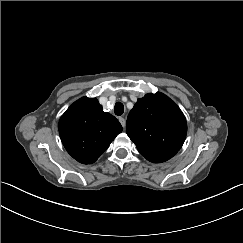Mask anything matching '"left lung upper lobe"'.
<instances>
[{"label":"left lung upper lobe","instance_id":"obj_1","mask_svg":"<svg viewBox=\"0 0 243 243\" xmlns=\"http://www.w3.org/2000/svg\"><path fill=\"white\" fill-rule=\"evenodd\" d=\"M187 133L186 119L179 107L157 92L138 99L127 119V135L149 161L161 163L182 147Z\"/></svg>","mask_w":243,"mask_h":243}]
</instances>
